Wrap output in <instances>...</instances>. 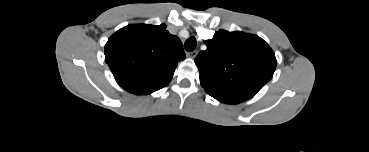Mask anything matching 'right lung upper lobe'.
<instances>
[{"label": "right lung upper lobe", "mask_w": 369, "mask_h": 152, "mask_svg": "<svg viewBox=\"0 0 369 152\" xmlns=\"http://www.w3.org/2000/svg\"><path fill=\"white\" fill-rule=\"evenodd\" d=\"M185 59L182 43L166 25H128L105 45V61L126 91L147 95L165 87L177 63Z\"/></svg>", "instance_id": "right-lung-upper-lobe-1"}]
</instances>
